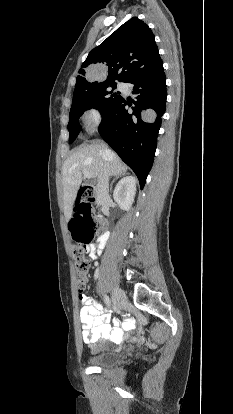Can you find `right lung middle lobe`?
Here are the masks:
<instances>
[{"label": "right lung middle lobe", "mask_w": 233, "mask_h": 414, "mask_svg": "<svg viewBox=\"0 0 233 414\" xmlns=\"http://www.w3.org/2000/svg\"><path fill=\"white\" fill-rule=\"evenodd\" d=\"M115 88L116 82L101 83L73 96L68 123L69 143H72L80 132L79 117L84 111L96 108L103 114L121 98L120 93L114 91Z\"/></svg>", "instance_id": "dd1d6c3e"}]
</instances>
